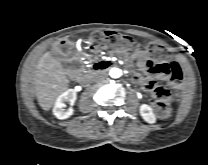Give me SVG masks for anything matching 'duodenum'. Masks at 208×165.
I'll use <instances>...</instances> for the list:
<instances>
[{
  "instance_id": "1",
  "label": "duodenum",
  "mask_w": 208,
  "mask_h": 165,
  "mask_svg": "<svg viewBox=\"0 0 208 165\" xmlns=\"http://www.w3.org/2000/svg\"><path fill=\"white\" fill-rule=\"evenodd\" d=\"M109 66L110 64L105 62H99L94 64L90 72L85 73L81 76L80 82L82 84H88L92 80L94 75L98 74L103 70H106Z\"/></svg>"
}]
</instances>
